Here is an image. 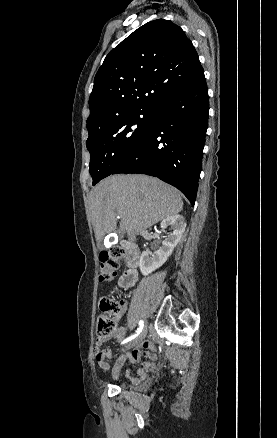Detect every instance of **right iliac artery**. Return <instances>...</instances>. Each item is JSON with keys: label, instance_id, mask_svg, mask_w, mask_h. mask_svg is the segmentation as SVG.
Masks as SVG:
<instances>
[{"label": "right iliac artery", "instance_id": "82829eb1", "mask_svg": "<svg viewBox=\"0 0 277 438\" xmlns=\"http://www.w3.org/2000/svg\"><path fill=\"white\" fill-rule=\"evenodd\" d=\"M143 327H144V322H143V320H140L139 327H138L136 333L134 335L126 338L125 340H123L122 344L127 343V342L131 341L132 339L136 338L140 334V332L142 331Z\"/></svg>", "mask_w": 277, "mask_h": 438}]
</instances>
